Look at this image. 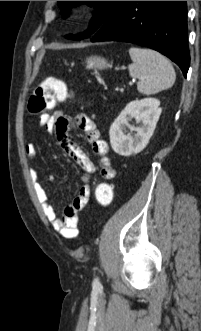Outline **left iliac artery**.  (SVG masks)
<instances>
[{
	"mask_svg": "<svg viewBox=\"0 0 201 331\" xmlns=\"http://www.w3.org/2000/svg\"><path fill=\"white\" fill-rule=\"evenodd\" d=\"M93 288L99 290L101 288V283L98 278H95L93 281Z\"/></svg>",
	"mask_w": 201,
	"mask_h": 331,
	"instance_id": "obj_1",
	"label": "left iliac artery"
}]
</instances>
